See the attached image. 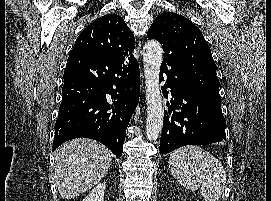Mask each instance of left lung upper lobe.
<instances>
[{
  "mask_svg": "<svg viewBox=\"0 0 271 201\" xmlns=\"http://www.w3.org/2000/svg\"><path fill=\"white\" fill-rule=\"evenodd\" d=\"M147 37L160 42L165 51L163 61L175 64L187 85L203 98L225 131L216 64L199 28L181 15L164 12L153 21Z\"/></svg>",
  "mask_w": 271,
  "mask_h": 201,
  "instance_id": "obj_1",
  "label": "left lung upper lobe"
}]
</instances>
